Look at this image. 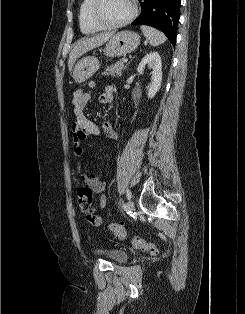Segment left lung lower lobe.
I'll list each match as a JSON object with an SVG mask.
<instances>
[{"instance_id": "obj_1", "label": "left lung lower lobe", "mask_w": 245, "mask_h": 314, "mask_svg": "<svg viewBox=\"0 0 245 314\" xmlns=\"http://www.w3.org/2000/svg\"><path fill=\"white\" fill-rule=\"evenodd\" d=\"M181 0H139L141 15L135 25H148L161 30L175 46Z\"/></svg>"}]
</instances>
